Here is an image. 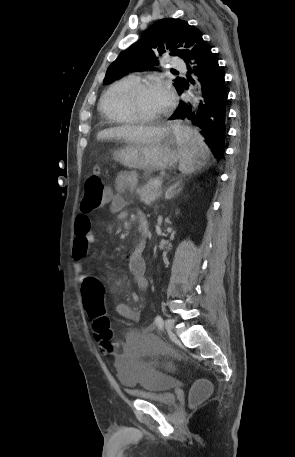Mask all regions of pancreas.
Listing matches in <instances>:
<instances>
[{
  "label": "pancreas",
  "mask_w": 295,
  "mask_h": 457,
  "mask_svg": "<svg viewBox=\"0 0 295 457\" xmlns=\"http://www.w3.org/2000/svg\"><path fill=\"white\" fill-rule=\"evenodd\" d=\"M155 181H160V179H151L143 187H140L136 190V193L139 195L141 202H144L145 204H150L160 196L161 192L159 186H156L154 184Z\"/></svg>",
  "instance_id": "obj_1"
}]
</instances>
